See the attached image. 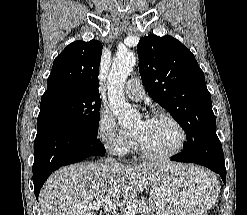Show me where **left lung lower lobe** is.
<instances>
[{
	"instance_id": "obj_1",
	"label": "left lung lower lobe",
	"mask_w": 247,
	"mask_h": 215,
	"mask_svg": "<svg viewBox=\"0 0 247 215\" xmlns=\"http://www.w3.org/2000/svg\"><path fill=\"white\" fill-rule=\"evenodd\" d=\"M172 161L196 163L218 173L226 184V169L221 143L217 136L195 139V149L183 150L174 156Z\"/></svg>"
}]
</instances>
